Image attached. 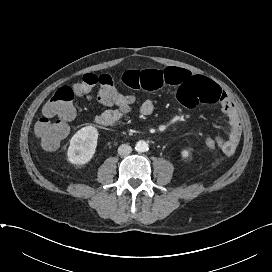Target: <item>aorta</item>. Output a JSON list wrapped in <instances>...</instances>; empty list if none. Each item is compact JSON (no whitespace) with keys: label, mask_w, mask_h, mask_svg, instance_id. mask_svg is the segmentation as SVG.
I'll use <instances>...</instances> for the list:
<instances>
[{"label":"aorta","mask_w":272,"mask_h":272,"mask_svg":"<svg viewBox=\"0 0 272 272\" xmlns=\"http://www.w3.org/2000/svg\"><path fill=\"white\" fill-rule=\"evenodd\" d=\"M149 147H148V143L143 141V140H140L136 143V146H135V150L138 151V152H146L148 151Z\"/></svg>","instance_id":"762f6f07"}]
</instances>
